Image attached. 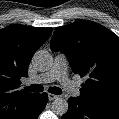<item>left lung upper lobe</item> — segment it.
<instances>
[{
  "mask_svg": "<svg viewBox=\"0 0 119 119\" xmlns=\"http://www.w3.org/2000/svg\"><path fill=\"white\" fill-rule=\"evenodd\" d=\"M51 50L66 54L72 71L85 77L79 98L119 112V37L92 21L58 27Z\"/></svg>",
  "mask_w": 119,
  "mask_h": 119,
  "instance_id": "5c2ea615",
  "label": "left lung upper lobe"
}]
</instances>
